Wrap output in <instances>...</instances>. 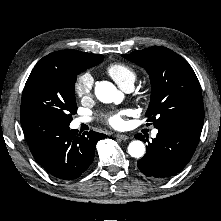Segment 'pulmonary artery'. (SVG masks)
I'll return each mask as SVG.
<instances>
[{
    "label": "pulmonary artery",
    "instance_id": "obj_1",
    "mask_svg": "<svg viewBox=\"0 0 221 221\" xmlns=\"http://www.w3.org/2000/svg\"><path fill=\"white\" fill-rule=\"evenodd\" d=\"M132 87L133 86H127V87H125V88H123L125 91H127V92H129V91H131L132 90ZM90 121V118H88V117H80V118H78V119H76L75 120V124L76 125H80L81 123H87V122H89ZM157 133H158V130H153L152 131V136L153 137H156V135H157Z\"/></svg>",
    "mask_w": 221,
    "mask_h": 221
}]
</instances>
